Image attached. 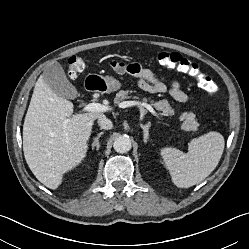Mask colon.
<instances>
[{"instance_id":"colon-1","label":"colon","mask_w":249,"mask_h":249,"mask_svg":"<svg viewBox=\"0 0 249 249\" xmlns=\"http://www.w3.org/2000/svg\"><path fill=\"white\" fill-rule=\"evenodd\" d=\"M156 59L158 63L164 67L173 68L194 77L198 81L200 88L205 92L212 93L215 91L216 85L213 79L203 73L197 64L190 62L180 54L170 51H161L156 54ZM111 65L116 72L126 69V64L123 62L113 61ZM85 66V61L79 56H72L67 62L68 72L72 78H76L82 73Z\"/></svg>"}]
</instances>
